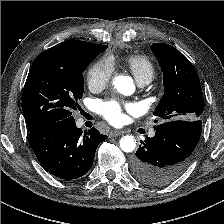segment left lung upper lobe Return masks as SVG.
Returning <instances> with one entry per match:
<instances>
[{
	"label": "left lung upper lobe",
	"mask_w": 224,
	"mask_h": 224,
	"mask_svg": "<svg viewBox=\"0 0 224 224\" xmlns=\"http://www.w3.org/2000/svg\"><path fill=\"white\" fill-rule=\"evenodd\" d=\"M151 50L159 61L164 78V95L154 115L163 122L201 119L204 101L194 66L166 43H154Z\"/></svg>",
	"instance_id": "obj_1"
}]
</instances>
